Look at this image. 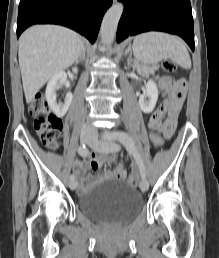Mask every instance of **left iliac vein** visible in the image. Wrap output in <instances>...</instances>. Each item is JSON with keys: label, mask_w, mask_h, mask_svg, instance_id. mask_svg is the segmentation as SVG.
Segmentation results:
<instances>
[{"label": "left iliac vein", "mask_w": 219, "mask_h": 258, "mask_svg": "<svg viewBox=\"0 0 219 258\" xmlns=\"http://www.w3.org/2000/svg\"><path fill=\"white\" fill-rule=\"evenodd\" d=\"M115 133H107L103 135L102 140L98 139L96 132L93 133L89 146L91 149L101 152H116L119 150V146L112 142ZM139 187L141 191L145 192L148 189V182L146 178H141L139 181Z\"/></svg>", "instance_id": "left-iliac-vein-1"}]
</instances>
